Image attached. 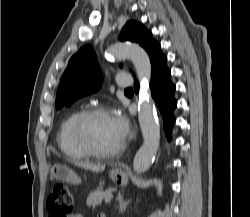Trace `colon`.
Returning <instances> with one entry per match:
<instances>
[{
    "instance_id": "obj_1",
    "label": "colon",
    "mask_w": 250,
    "mask_h": 217,
    "mask_svg": "<svg viewBox=\"0 0 250 217\" xmlns=\"http://www.w3.org/2000/svg\"><path fill=\"white\" fill-rule=\"evenodd\" d=\"M74 199L70 188L63 183L56 184L47 199L49 217H69Z\"/></svg>"
}]
</instances>
